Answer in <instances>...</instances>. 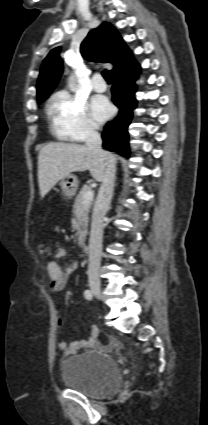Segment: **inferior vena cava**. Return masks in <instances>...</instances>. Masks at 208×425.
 <instances>
[{
    "instance_id": "obj_1",
    "label": "inferior vena cava",
    "mask_w": 208,
    "mask_h": 425,
    "mask_svg": "<svg viewBox=\"0 0 208 425\" xmlns=\"http://www.w3.org/2000/svg\"><path fill=\"white\" fill-rule=\"evenodd\" d=\"M102 140L93 127H88L86 147L93 151L105 163V173L94 205L89 239V282L99 284V269L102 255V237L104 228V217L110 207L116 172V160L112 154L102 150Z\"/></svg>"
}]
</instances>
